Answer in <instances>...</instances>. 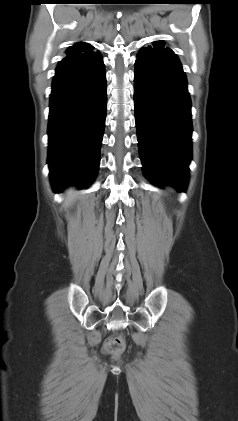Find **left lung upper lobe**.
<instances>
[{
    "label": "left lung upper lobe",
    "instance_id": "obj_1",
    "mask_svg": "<svg viewBox=\"0 0 238 421\" xmlns=\"http://www.w3.org/2000/svg\"><path fill=\"white\" fill-rule=\"evenodd\" d=\"M153 45H163L162 43H154Z\"/></svg>",
    "mask_w": 238,
    "mask_h": 421
}]
</instances>
